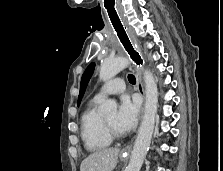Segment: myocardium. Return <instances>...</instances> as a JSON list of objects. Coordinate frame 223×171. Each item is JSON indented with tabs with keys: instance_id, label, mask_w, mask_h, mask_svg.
Wrapping results in <instances>:
<instances>
[{
	"instance_id": "myocardium-1",
	"label": "myocardium",
	"mask_w": 223,
	"mask_h": 171,
	"mask_svg": "<svg viewBox=\"0 0 223 171\" xmlns=\"http://www.w3.org/2000/svg\"><path fill=\"white\" fill-rule=\"evenodd\" d=\"M102 122H103V127H104V130L107 134V136L113 140V139H118V138H121L122 137V134L121 133H117L115 132L112 127L108 124V122L105 120L104 117H102Z\"/></svg>"
}]
</instances>
